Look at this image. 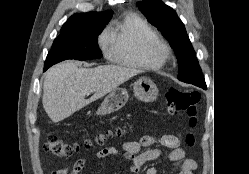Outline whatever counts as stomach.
<instances>
[{
  "instance_id": "stomach-1",
  "label": "stomach",
  "mask_w": 249,
  "mask_h": 174,
  "mask_svg": "<svg viewBox=\"0 0 249 174\" xmlns=\"http://www.w3.org/2000/svg\"><path fill=\"white\" fill-rule=\"evenodd\" d=\"M133 90L135 96L143 102H152L156 100L159 92L154 82L145 77L139 78L136 82H134ZM128 98L129 95L126 89L116 88L104 99L97 111V114L104 115L119 110L126 104Z\"/></svg>"
}]
</instances>
